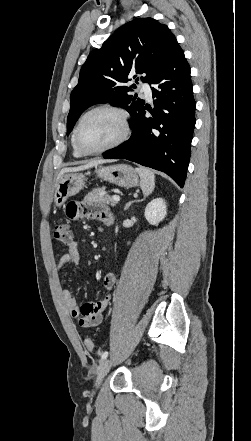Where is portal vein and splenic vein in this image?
Segmentation results:
<instances>
[{
    "mask_svg": "<svg viewBox=\"0 0 251 441\" xmlns=\"http://www.w3.org/2000/svg\"><path fill=\"white\" fill-rule=\"evenodd\" d=\"M112 200L116 203H118L120 201V197L118 195H113L112 196Z\"/></svg>",
    "mask_w": 251,
    "mask_h": 441,
    "instance_id": "1",
    "label": "portal vein and splenic vein"
}]
</instances>
